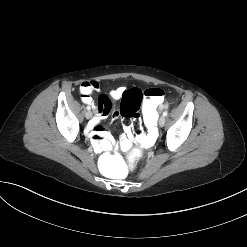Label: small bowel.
Returning <instances> with one entry per match:
<instances>
[{
  "instance_id": "small-bowel-1",
  "label": "small bowel",
  "mask_w": 247,
  "mask_h": 247,
  "mask_svg": "<svg viewBox=\"0 0 247 247\" xmlns=\"http://www.w3.org/2000/svg\"><path fill=\"white\" fill-rule=\"evenodd\" d=\"M99 83L97 81H87L84 82L80 88L81 99L85 104L91 105L95 110V116L91 124L89 125L87 132L89 137L91 138L92 145L96 152L108 151L112 150L115 147V141L112 136L105 131L101 126H99V122L104 119L110 112L112 103L110 98L114 100L120 99L125 89L123 87L116 88L110 92V98L107 95H100L98 102L95 103L91 94L93 91L98 90ZM119 115L118 112L114 113V116L117 117ZM127 134L121 136L119 146L122 150H127L131 146V138L130 134L125 128Z\"/></svg>"
}]
</instances>
